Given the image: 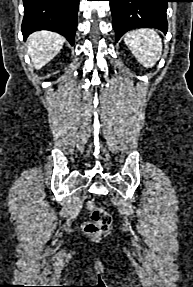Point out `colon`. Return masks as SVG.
Here are the masks:
<instances>
[{"instance_id":"5ec220e1","label":"colon","mask_w":193,"mask_h":287,"mask_svg":"<svg viewBox=\"0 0 193 287\" xmlns=\"http://www.w3.org/2000/svg\"><path fill=\"white\" fill-rule=\"evenodd\" d=\"M87 209L90 212V218L83 226L84 232L91 236L103 234L111 225V215L93 201L87 203Z\"/></svg>"}]
</instances>
